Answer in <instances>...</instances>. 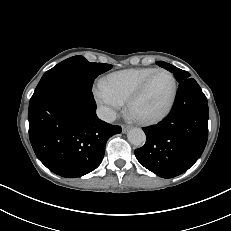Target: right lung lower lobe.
I'll use <instances>...</instances> for the list:
<instances>
[{
    "instance_id": "98d812e1",
    "label": "right lung lower lobe",
    "mask_w": 231,
    "mask_h": 231,
    "mask_svg": "<svg viewBox=\"0 0 231 231\" xmlns=\"http://www.w3.org/2000/svg\"><path fill=\"white\" fill-rule=\"evenodd\" d=\"M29 138L38 159L52 172L75 178L101 163L107 140L121 132L100 120L92 90L58 82L32 97Z\"/></svg>"
}]
</instances>
